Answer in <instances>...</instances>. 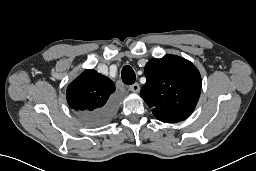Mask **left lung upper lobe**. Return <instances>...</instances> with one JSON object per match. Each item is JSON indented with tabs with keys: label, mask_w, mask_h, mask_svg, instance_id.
<instances>
[{
	"label": "left lung upper lobe",
	"mask_w": 256,
	"mask_h": 171,
	"mask_svg": "<svg viewBox=\"0 0 256 171\" xmlns=\"http://www.w3.org/2000/svg\"><path fill=\"white\" fill-rule=\"evenodd\" d=\"M145 76L140 95L158 120L176 123L189 117L201 92L200 73L190 61L175 55L151 59Z\"/></svg>",
	"instance_id": "left-lung-upper-lobe-1"
}]
</instances>
